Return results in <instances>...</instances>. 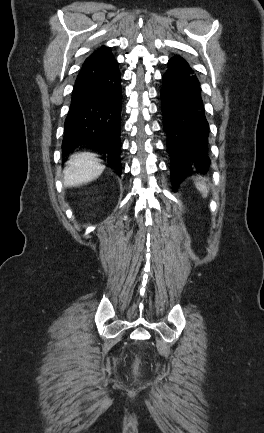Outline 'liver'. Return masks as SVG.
<instances>
[{
  "mask_svg": "<svg viewBox=\"0 0 264 433\" xmlns=\"http://www.w3.org/2000/svg\"><path fill=\"white\" fill-rule=\"evenodd\" d=\"M93 153H79L70 157L63 171V183L66 187H75L97 179L104 171Z\"/></svg>",
  "mask_w": 264,
  "mask_h": 433,
  "instance_id": "liver-1",
  "label": "liver"
}]
</instances>
